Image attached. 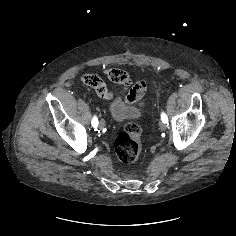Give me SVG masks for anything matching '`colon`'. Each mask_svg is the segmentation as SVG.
Here are the masks:
<instances>
[{
  "label": "colon",
  "mask_w": 236,
  "mask_h": 236,
  "mask_svg": "<svg viewBox=\"0 0 236 236\" xmlns=\"http://www.w3.org/2000/svg\"><path fill=\"white\" fill-rule=\"evenodd\" d=\"M145 91V84L135 85L128 93L132 101L140 99ZM114 148L117 157L124 163L134 162L140 155L142 149L141 129L138 124L129 122L124 130L116 137Z\"/></svg>",
  "instance_id": "5ec220e1"
}]
</instances>
